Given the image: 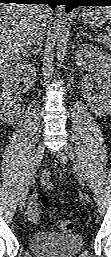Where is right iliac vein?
<instances>
[{
    "label": "right iliac vein",
    "mask_w": 111,
    "mask_h": 257,
    "mask_svg": "<svg viewBox=\"0 0 111 257\" xmlns=\"http://www.w3.org/2000/svg\"><path fill=\"white\" fill-rule=\"evenodd\" d=\"M43 155H44V145L40 142L36 148L35 155L33 157V161L31 164V170H30L28 178L26 180V182H28L29 184H32V182L34 180V176H35L37 169L43 159ZM27 194L28 193H25V192L21 193V197L19 200V207H23L25 205Z\"/></svg>",
    "instance_id": "obj_1"
}]
</instances>
